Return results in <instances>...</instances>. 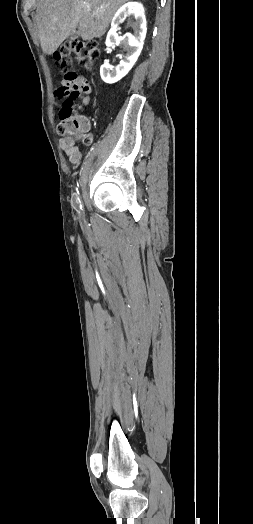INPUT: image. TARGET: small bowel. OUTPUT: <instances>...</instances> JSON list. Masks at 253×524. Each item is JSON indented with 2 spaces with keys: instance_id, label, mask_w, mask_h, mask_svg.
<instances>
[{
  "instance_id": "1",
  "label": "small bowel",
  "mask_w": 253,
  "mask_h": 524,
  "mask_svg": "<svg viewBox=\"0 0 253 524\" xmlns=\"http://www.w3.org/2000/svg\"><path fill=\"white\" fill-rule=\"evenodd\" d=\"M53 95L55 98L60 99L63 97L64 92L62 89L57 88L54 90ZM90 95L91 93L85 96H79L83 105H88L90 101ZM87 129H88V123L84 120L83 121V130H87ZM60 144H61V148L63 152L69 157L72 163L77 164L80 162L82 158V153L77 148L72 146L66 139H62Z\"/></svg>"
}]
</instances>
